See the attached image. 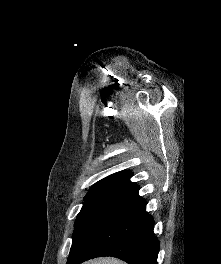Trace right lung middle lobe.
Instances as JSON below:
<instances>
[{
  "label": "right lung middle lobe",
  "instance_id": "1",
  "mask_svg": "<svg viewBox=\"0 0 221 264\" xmlns=\"http://www.w3.org/2000/svg\"><path fill=\"white\" fill-rule=\"evenodd\" d=\"M123 189L91 190L77 216L69 258L76 256L86 245L108 211L123 195Z\"/></svg>",
  "mask_w": 221,
  "mask_h": 264
}]
</instances>
